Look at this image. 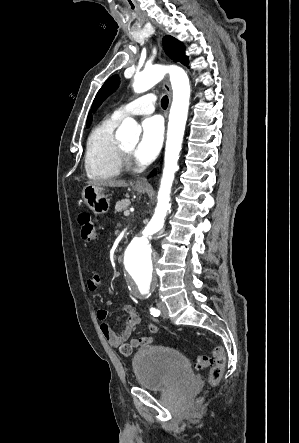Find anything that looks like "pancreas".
<instances>
[{"mask_svg": "<svg viewBox=\"0 0 299 443\" xmlns=\"http://www.w3.org/2000/svg\"><path fill=\"white\" fill-rule=\"evenodd\" d=\"M130 204H131L130 200L128 199L118 201L115 205V212H121L126 210Z\"/></svg>", "mask_w": 299, "mask_h": 443, "instance_id": "1", "label": "pancreas"}]
</instances>
